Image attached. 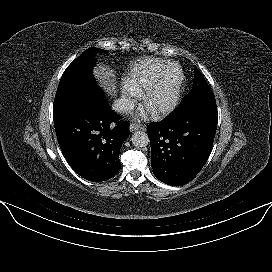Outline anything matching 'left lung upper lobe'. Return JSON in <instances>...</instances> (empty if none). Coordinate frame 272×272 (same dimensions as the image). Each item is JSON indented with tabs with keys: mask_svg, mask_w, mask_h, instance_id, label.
Returning a JSON list of instances; mask_svg holds the SVG:
<instances>
[{
	"mask_svg": "<svg viewBox=\"0 0 272 272\" xmlns=\"http://www.w3.org/2000/svg\"><path fill=\"white\" fill-rule=\"evenodd\" d=\"M212 101H215V97L211 88L201 72L195 68L193 87L178 107L198 105Z\"/></svg>",
	"mask_w": 272,
	"mask_h": 272,
	"instance_id": "obj_1",
	"label": "left lung upper lobe"
}]
</instances>
